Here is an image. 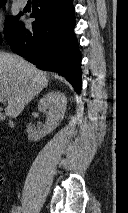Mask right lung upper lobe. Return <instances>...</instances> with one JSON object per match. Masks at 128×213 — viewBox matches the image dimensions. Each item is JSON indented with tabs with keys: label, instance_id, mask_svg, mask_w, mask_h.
<instances>
[{
	"label": "right lung upper lobe",
	"instance_id": "obj_1",
	"mask_svg": "<svg viewBox=\"0 0 128 213\" xmlns=\"http://www.w3.org/2000/svg\"><path fill=\"white\" fill-rule=\"evenodd\" d=\"M5 2V0H0V3H4Z\"/></svg>",
	"mask_w": 128,
	"mask_h": 213
}]
</instances>
